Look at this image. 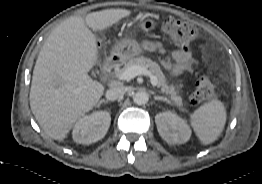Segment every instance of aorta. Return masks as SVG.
Returning <instances> with one entry per match:
<instances>
[{
	"label": "aorta",
	"mask_w": 262,
	"mask_h": 184,
	"mask_svg": "<svg viewBox=\"0 0 262 184\" xmlns=\"http://www.w3.org/2000/svg\"><path fill=\"white\" fill-rule=\"evenodd\" d=\"M149 95L145 91H138L133 96V101L137 105H144L148 102Z\"/></svg>",
	"instance_id": "obj_1"
}]
</instances>
